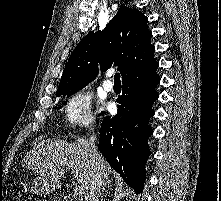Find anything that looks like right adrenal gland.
I'll use <instances>...</instances> for the list:
<instances>
[{
  "label": "right adrenal gland",
  "instance_id": "1",
  "mask_svg": "<svg viewBox=\"0 0 221 201\" xmlns=\"http://www.w3.org/2000/svg\"><path fill=\"white\" fill-rule=\"evenodd\" d=\"M107 189H110V184L109 183H103L102 190H101V193H100V197H103V194H104V192L105 193L107 192ZM101 201H103V200H101Z\"/></svg>",
  "mask_w": 221,
  "mask_h": 201
}]
</instances>
